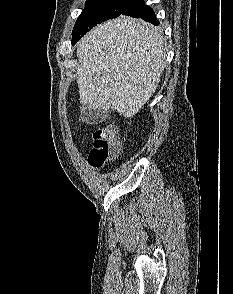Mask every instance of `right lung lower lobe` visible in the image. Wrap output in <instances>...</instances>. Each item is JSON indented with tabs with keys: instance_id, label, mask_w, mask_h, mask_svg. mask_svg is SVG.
Instances as JSON below:
<instances>
[{
	"instance_id": "98d812e1",
	"label": "right lung lower lobe",
	"mask_w": 233,
	"mask_h": 294,
	"mask_svg": "<svg viewBox=\"0 0 233 294\" xmlns=\"http://www.w3.org/2000/svg\"><path fill=\"white\" fill-rule=\"evenodd\" d=\"M121 14L141 18L154 25L159 24L154 11L152 8L144 4V0H131ZM84 34H81L80 37L74 38L72 44L77 42Z\"/></svg>"
}]
</instances>
